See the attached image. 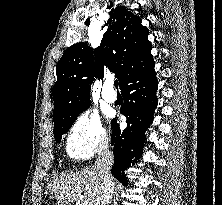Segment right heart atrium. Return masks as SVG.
<instances>
[{
    "label": "right heart atrium",
    "mask_w": 222,
    "mask_h": 205,
    "mask_svg": "<svg viewBox=\"0 0 222 205\" xmlns=\"http://www.w3.org/2000/svg\"><path fill=\"white\" fill-rule=\"evenodd\" d=\"M109 137L99 118L90 112L80 114L68 131L67 154L73 159H88L103 150Z\"/></svg>",
    "instance_id": "right-heart-atrium-1"
}]
</instances>
